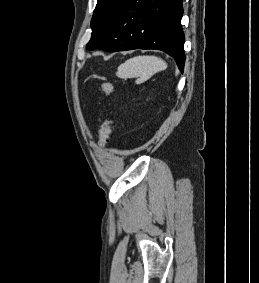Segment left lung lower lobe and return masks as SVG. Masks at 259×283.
<instances>
[{"label":"left lung lower lobe","mask_w":259,"mask_h":283,"mask_svg":"<svg viewBox=\"0 0 259 283\" xmlns=\"http://www.w3.org/2000/svg\"><path fill=\"white\" fill-rule=\"evenodd\" d=\"M182 0H125L102 38L87 49H157L185 63Z\"/></svg>","instance_id":"1"}]
</instances>
